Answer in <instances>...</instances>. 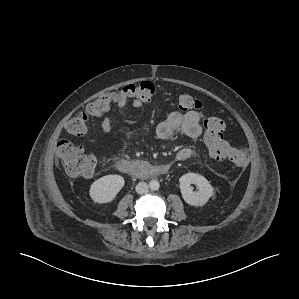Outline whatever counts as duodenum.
<instances>
[{
    "label": "duodenum",
    "mask_w": 299,
    "mask_h": 299,
    "mask_svg": "<svg viewBox=\"0 0 299 299\" xmlns=\"http://www.w3.org/2000/svg\"><path fill=\"white\" fill-rule=\"evenodd\" d=\"M117 169L122 174L138 178H148L164 175L169 170V168L164 165H151L146 161H131L125 159L119 160L117 162Z\"/></svg>",
    "instance_id": "obj_1"
}]
</instances>
